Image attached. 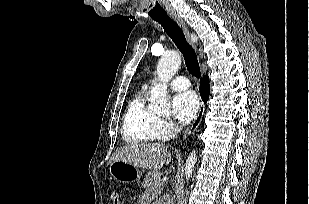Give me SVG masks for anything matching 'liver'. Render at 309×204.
I'll return each instance as SVG.
<instances>
[{
  "label": "liver",
  "instance_id": "1",
  "mask_svg": "<svg viewBox=\"0 0 309 204\" xmlns=\"http://www.w3.org/2000/svg\"><path fill=\"white\" fill-rule=\"evenodd\" d=\"M162 143H132L119 148L112 156L113 161H124L138 168L159 170L171 161V153Z\"/></svg>",
  "mask_w": 309,
  "mask_h": 204
}]
</instances>
